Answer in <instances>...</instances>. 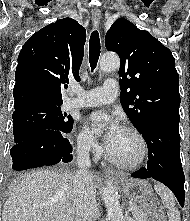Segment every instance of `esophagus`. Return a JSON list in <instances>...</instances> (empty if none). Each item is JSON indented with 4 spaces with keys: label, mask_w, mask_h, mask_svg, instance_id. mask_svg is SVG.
Segmentation results:
<instances>
[{
    "label": "esophagus",
    "mask_w": 190,
    "mask_h": 221,
    "mask_svg": "<svg viewBox=\"0 0 190 221\" xmlns=\"http://www.w3.org/2000/svg\"><path fill=\"white\" fill-rule=\"evenodd\" d=\"M100 18H101V11L99 9H93L92 10V24H93L94 28H96V29L99 26ZM104 171L108 175H116L117 174L115 172V170H113L111 168H106Z\"/></svg>",
    "instance_id": "obj_1"
}]
</instances>
